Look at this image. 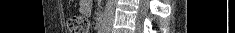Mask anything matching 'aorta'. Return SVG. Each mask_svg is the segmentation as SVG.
<instances>
[{
    "label": "aorta",
    "instance_id": "obj_1",
    "mask_svg": "<svg viewBox=\"0 0 235 33\" xmlns=\"http://www.w3.org/2000/svg\"><path fill=\"white\" fill-rule=\"evenodd\" d=\"M116 0H106L103 13V26L105 31H109L114 17Z\"/></svg>",
    "mask_w": 235,
    "mask_h": 33
}]
</instances>
